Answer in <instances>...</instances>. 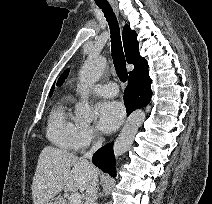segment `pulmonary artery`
<instances>
[{"instance_id": "obj_1", "label": "pulmonary artery", "mask_w": 212, "mask_h": 204, "mask_svg": "<svg viewBox=\"0 0 212 204\" xmlns=\"http://www.w3.org/2000/svg\"><path fill=\"white\" fill-rule=\"evenodd\" d=\"M92 93L104 97H114L118 94V87L115 83L96 84L92 87Z\"/></svg>"}]
</instances>
